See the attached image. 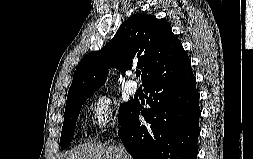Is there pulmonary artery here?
Instances as JSON below:
<instances>
[{
    "label": "pulmonary artery",
    "instance_id": "obj_1",
    "mask_svg": "<svg viewBox=\"0 0 253 159\" xmlns=\"http://www.w3.org/2000/svg\"><path fill=\"white\" fill-rule=\"evenodd\" d=\"M128 75H129L130 77H133V76H134V74H133L132 72H128ZM125 89H126V92H127L128 94L133 95V94H135V93L137 92L138 85H137L134 81L130 80V81H128V82L126 83Z\"/></svg>",
    "mask_w": 253,
    "mask_h": 159
}]
</instances>
